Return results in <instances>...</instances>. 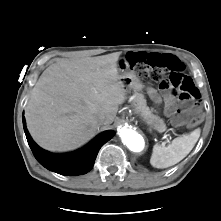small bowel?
<instances>
[{
    "label": "small bowel",
    "instance_id": "obj_1",
    "mask_svg": "<svg viewBox=\"0 0 221 221\" xmlns=\"http://www.w3.org/2000/svg\"><path fill=\"white\" fill-rule=\"evenodd\" d=\"M132 53L140 55L141 56L140 60L142 62H146V58L148 54H150L148 52H132ZM164 101H165V110L168 115L174 114L182 106L181 101L180 100L178 101L174 96L170 94L165 96Z\"/></svg>",
    "mask_w": 221,
    "mask_h": 221
}]
</instances>
